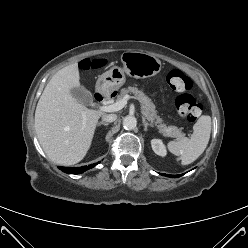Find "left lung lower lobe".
<instances>
[{
	"instance_id": "obj_1",
	"label": "left lung lower lobe",
	"mask_w": 248,
	"mask_h": 248,
	"mask_svg": "<svg viewBox=\"0 0 248 248\" xmlns=\"http://www.w3.org/2000/svg\"><path fill=\"white\" fill-rule=\"evenodd\" d=\"M162 175H164V176H167V177H180L181 175H168V174H162Z\"/></svg>"
}]
</instances>
